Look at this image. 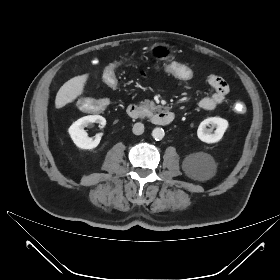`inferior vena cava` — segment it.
I'll return each instance as SVG.
<instances>
[{"mask_svg":"<svg viewBox=\"0 0 280 280\" xmlns=\"http://www.w3.org/2000/svg\"><path fill=\"white\" fill-rule=\"evenodd\" d=\"M132 131L135 135H141L144 132V125L140 122L135 123Z\"/></svg>","mask_w":280,"mask_h":280,"instance_id":"1","label":"inferior vena cava"}]
</instances>
